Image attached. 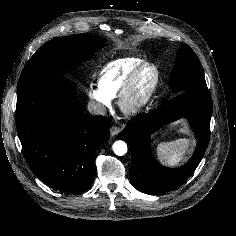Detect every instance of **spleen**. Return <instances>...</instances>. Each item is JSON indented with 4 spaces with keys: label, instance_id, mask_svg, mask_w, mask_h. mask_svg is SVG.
Here are the masks:
<instances>
[{
    "label": "spleen",
    "instance_id": "obj_1",
    "mask_svg": "<svg viewBox=\"0 0 236 236\" xmlns=\"http://www.w3.org/2000/svg\"><path fill=\"white\" fill-rule=\"evenodd\" d=\"M191 140L182 138L172 142H163L156 147L157 159L164 165L177 166L187 153Z\"/></svg>",
    "mask_w": 236,
    "mask_h": 236
}]
</instances>
